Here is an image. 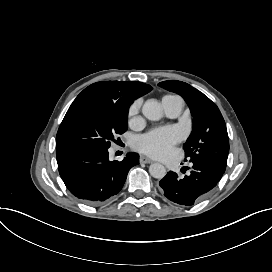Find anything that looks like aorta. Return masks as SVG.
Returning a JSON list of instances; mask_svg holds the SVG:
<instances>
[{"mask_svg": "<svg viewBox=\"0 0 272 272\" xmlns=\"http://www.w3.org/2000/svg\"><path fill=\"white\" fill-rule=\"evenodd\" d=\"M142 113L147 119L152 121H158L163 117V111L156 99H148L142 107ZM149 173L154 178L163 179L166 175V169L160 163H153L149 167Z\"/></svg>", "mask_w": 272, "mask_h": 272, "instance_id": "aorta-1", "label": "aorta"}]
</instances>
